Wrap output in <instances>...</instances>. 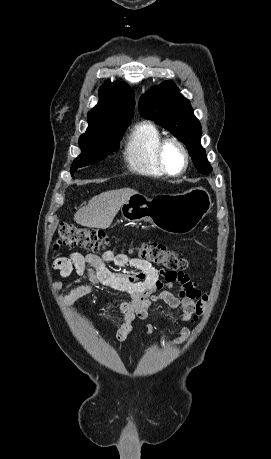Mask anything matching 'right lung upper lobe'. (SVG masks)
<instances>
[{
  "label": "right lung upper lobe",
  "instance_id": "obj_1",
  "mask_svg": "<svg viewBox=\"0 0 271 459\" xmlns=\"http://www.w3.org/2000/svg\"><path fill=\"white\" fill-rule=\"evenodd\" d=\"M134 94L126 84L107 81L99 90V102L88 113V122L99 120H131Z\"/></svg>",
  "mask_w": 271,
  "mask_h": 459
}]
</instances>
